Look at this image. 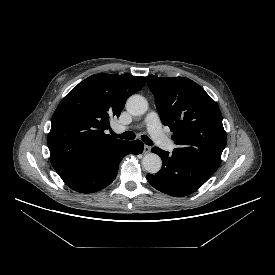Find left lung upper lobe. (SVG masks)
Segmentation results:
<instances>
[{
    "label": "left lung upper lobe",
    "instance_id": "obj_1",
    "mask_svg": "<svg viewBox=\"0 0 275 275\" xmlns=\"http://www.w3.org/2000/svg\"><path fill=\"white\" fill-rule=\"evenodd\" d=\"M147 84L162 123L174 133L173 153L214 174L227 142L216 102L188 78L149 75Z\"/></svg>",
    "mask_w": 275,
    "mask_h": 275
}]
</instances>
